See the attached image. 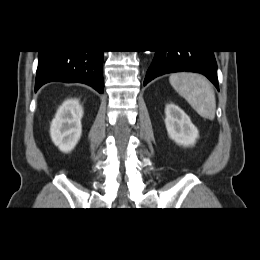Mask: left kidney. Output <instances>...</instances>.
I'll list each match as a JSON object with an SVG mask.
<instances>
[{
  "label": "left kidney",
  "mask_w": 260,
  "mask_h": 260,
  "mask_svg": "<svg viewBox=\"0 0 260 260\" xmlns=\"http://www.w3.org/2000/svg\"><path fill=\"white\" fill-rule=\"evenodd\" d=\"M165 125L169 137L178 145L188 147L194 145L199 131L189 116L177 105L167 104L165 107Z\"/></svg>",
  "instance_id": "obj_1"
}]
</instances>
